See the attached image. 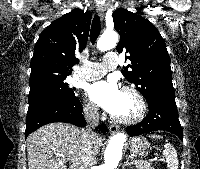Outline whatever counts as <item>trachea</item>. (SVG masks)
I'll return each instance as SVG.
<instances>
[{
  "mask_svg": "<svg viewBox=\"0 0 200 169\" xmlns=\"http://www.w3.org/2000/svg\"><path fill=\"white\" fill-rule=\"evenodd\" d=\"M101 31V22L100 17L98 15H95L92 21L91 31H90V40L94 44L97 40V38L100 35Z\"/></svg>",
  "mask_w": 200,
  "mask_h": 169,
  "instance_id": "1",
  "label": "trachea"
}]
</instances>
